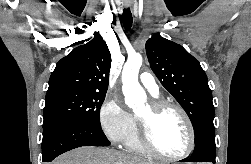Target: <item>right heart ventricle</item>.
Returning a JSON list of instances; mask_svg holds the SVG:
<instances>
[{"instance_id":"obj_1","label":"right heart ventricle","mask_w":251,"mask_h":164,"mask_svg":"<svg viewBox=\"0 0 251 164\" xmlns=\"http://www.w3.org/2000/svg\"><path fill=\"white\" fill-rule=\"evenodd\" d=\"M126 147L133 153L139 155H148L149 153L143 147L140 141L139 128L137 126L136 120L134 119V127L130 135L125 140Z\"/></svg>"}]
</instances>
